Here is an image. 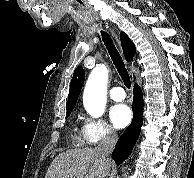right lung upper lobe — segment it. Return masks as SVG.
I'll list each match as a JSON object with an SVG mask.
<instances>
[{
  "mask_svg": "<svg viewBox=\"0 0 194 178\" xmlns=\"http://www.w3.org/2000/svg\"><path fill=\"white\" fill-rule=\"evenodd\" d=\"M121 44L123 48V52L127 61H131L133 56L135 55L136 49L133 42L129 39V37L121 32L120 34ZM85 73L81 66L75 69L73 78L70 84V90L68 95V104H67V112L72 111L74 108L78 96L80 94L82 85L84 83Z\"/></svg>",
  "mask_w": 194,
  "mask_h": 178,
  "instance_id": "1",
  "label": "right lung upper lobe"
}]
</instances>
